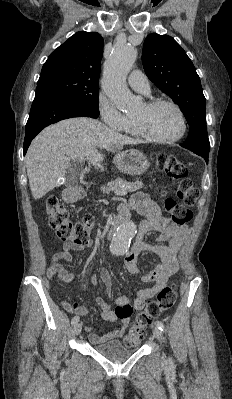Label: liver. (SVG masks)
<instances>
[{"label": "liver", "mask_w": 232, "mask_h": 399, "mask_svg": "<svg viewBox=\"0 0 232 399\" xmlns=\"http://www.w3.org/2000/svg\"><path fill=\"white\" fill-rule=\"evenodd\" d=\"M126 144L138 142L92 118H70L48 126L33 140L25 158L33 198L39 200L58 186L70 160L86 158L102 172L104 156L100 150L118 152Z\"/></svg>", "instance_id": "1"}]
</instances>
